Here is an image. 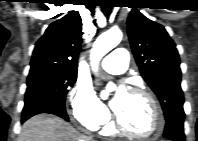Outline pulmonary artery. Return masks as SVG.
I'll list each match as a JSON object with an SVG mask.
<instances>
[{
  "label": "pulmonary artery",
  "mask_w": 198,
  "mask_h": 141,
  "mask_svg": "<svg viewBox=\"0 0 198 141\" xmlns=\"http://www.w3.org/2000/svg\"><path fill=\"white\" fill-rule=\"evenodd\" d=\"M129 64V53L123 47L112 50L102 61V67L109 73L121 74Z\"/></svg>",
  "instance_id": "pulmonary-artery-1"
}]
</instances>
